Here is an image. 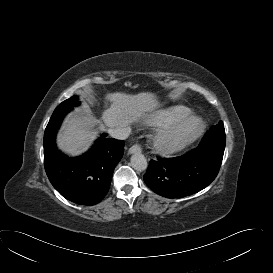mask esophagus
Instances as JSON below:
<instances>
[{"label":"esophagus","instance_id":"1","mask_svg":"<svg viewBox=\"0 0 273 273\" xmlns=\"http://www.w3.org/2000/svg\"><path fill=\"white\" fill-rule=\"evenodd\" d=\"M142 151V147L139 144H134L133 146H131L128 150L129 154H133V153H140Z\"/></svg>","mask_w":273,"mask_h":273}]
</instances>
